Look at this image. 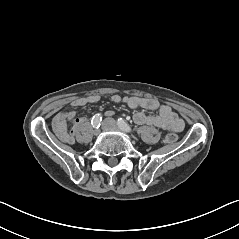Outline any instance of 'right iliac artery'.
Masks as SVG:
<instances>
[{"mask_svg":"<svg viewBox=\"0 0 239 239\" xmlns=\"http://www.w3.org/2000/svg\"><path fill=\"white\" fill-rule=\"evenodd\" d=\"M102 116L101 114H96L92 117L91 124L95 129H98L101 125Z\"/></svg>","mask_w":239,"mask_h":239,"instance_id":"right-iliac-artery-1","label":"right iliac artery"}]
</instances>
